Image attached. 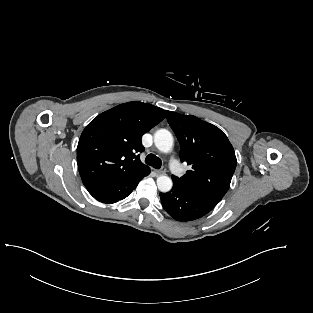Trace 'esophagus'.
Returning a JSON list of instances; mask_svg holds the SVG:
<instances>
[{
  "mask_svg": "<svg viewBox=\"0 0 313 313\" xmlns=\"http://www.w3.org/2000/svg\"><path fill=\"white\" fill-rule=\"evenodd\" d=\"M156 173H157L158 175H163V174L166 173V168L162 167L161 169L156 170Z\"/></svg>",
  "mask_w": 313,
  "mask_h": 313,
  "instance_id": "obj_1",
  "label": "esophagus"
}]
</instances>
